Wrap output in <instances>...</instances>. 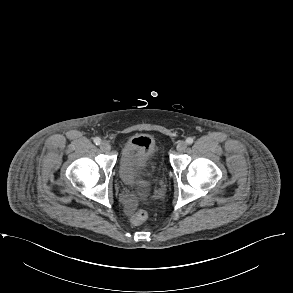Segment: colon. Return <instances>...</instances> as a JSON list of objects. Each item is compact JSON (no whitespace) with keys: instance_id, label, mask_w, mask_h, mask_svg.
I'll use <instances>...</instances> for the list:
<instances>
[{"instance_id":"colon-1","label":"colon","mask_w":293,"mask_h":293,"mask_svg":"<svg viewBox=\"0 0 293 293\" xmlns=\"http://www.w3.org/2000/svg\"><path fill=\"white\" fill-rule=\"evenodd\" d=\"M148 214L145 210L140 209L131 216L130 221L133 225L138 226L146 221Z\"/></svg>"}]
</instances>
